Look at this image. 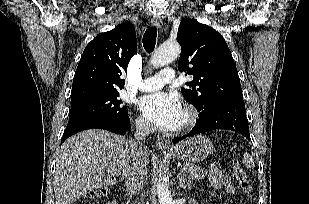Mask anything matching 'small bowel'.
I'll list each match as a JSON object with an SVG mask.
<instances>
[{
  "mask_svg": "<svg viewBox=\"0 0 309 204\" xmlns=\"http://www.w3.org/2000/svg\"><path fill=\"white\" fill-rule=\"evenodd\" d=\"M209 179L211 184L219 190H223L226 193L233 194L235 188L231 183L230 176L224 174L221 167L217 163H212L209 166Z\"/></svg>",
  "mask_w": 309,
  "mask_h": 204,
  "instance_id": "c3829d8e",
  "label": "small bowel"
}]
</instances>
